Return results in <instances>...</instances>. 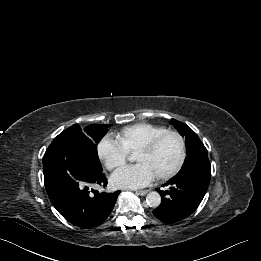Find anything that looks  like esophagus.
<instances>
[{"label":"esophagus","mask_w":261,"mask_h":261,"mask_svg":"<svg viewBox=\"0 0 261 261\" xmlns=\"http://www.w3.org/2000/svg\"><path fill=\"white\" fill-rule=\"evenodd\" d=\"M148 192H149V190H140V191H137L136 194L141 195V196H144V195H146Z\"/></svg>","instance_id":"1"}]
</instances>
